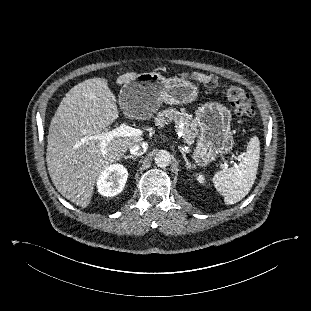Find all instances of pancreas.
<instances>
[{
    "instance_id": "1",
    "label": "pancreas",
    "mask_w": 311,
    "mask_h": 311,
    "mask_svg": "<svg viewBox=\"0 0 311 311\" xmlns=\"http://www.w3.org/2000/svg\"><path fill=\"white\" fill-rule=\"evenodd\" d=\"M154 122L155 125L159 127H163L169 122H174L176 127L182 130L184 142L189 145H191L194 139L199 135L196 128V121L192 120V116L187 114L186 111L179 112L174 108L162 110L157 113Z\"/></svg>"
}]
</instances>
